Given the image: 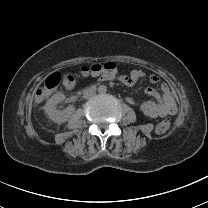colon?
<instances>
[{
  "label": "colon",
  "instance_id": "obj_1",
  "mask_svg": "<svg viewBox=\"0 0 208 208\" xmlns=\"http://www.w3.org/2000/svg\"><path fill=\"white\" fill-rule=\"evenodd\" d=\"M119 64L117 62H95L91 65H85L81 73L99 78L104 75H117L119 73ZM72 81V76L69 71H63V74L53 73L45 81L46 90H54L60 84H68ZM43 94L42 90L38 91V95ZM171 127L170 119H163L156 127V132L160 135L165 134Z\"/></svg>",
  "mask_w": 208,
  "mask_h": 208
}]
</instances>
